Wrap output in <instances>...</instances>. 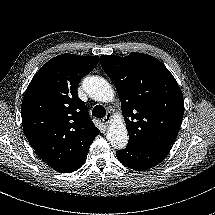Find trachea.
<instances>
[{"mask_svg":"<svg viewBox=\"0 0 215 215\" xmlns=\"http://www.w3.org/2000/svg\"><path fill=\"white\" fill-rule=\"evenodd\" d=\"M92 115L97 118H103L106 115V109L102 105H96L92 110Z\"/></svg>","mask_w":215,"mask_h":215,"instance_id":"obj_1","label":"trachea"}]
</instances>
